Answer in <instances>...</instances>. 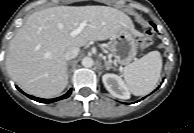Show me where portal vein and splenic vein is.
Returning a JSON list of instances; mask_svg holds the SVG:
<instances>
[{"label":"portal vein and splenic vein","mask_w":194,"mask_h":133,"mask_svg":"<svg viewBox=\"0 0 194 133\" xmlns=\"http://www.w3.org/2000/svg\"><path fill=\"white\" fill-rule=\"evenodd\" d=\"M85 26H86V22L83 21V22L79 25L78 28H76L75 30H73V31L70 33V35H71L72 37L78 35V34L83 30V28H84Z\"/></svg>","instance_id":"portal-vein-and-splenic-vein-1"}]
</instances>
